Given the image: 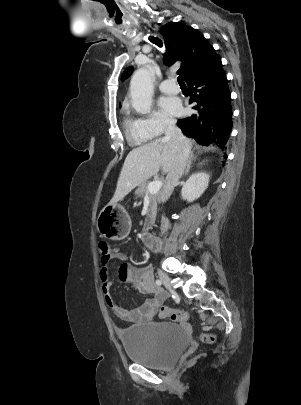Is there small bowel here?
<instances>
[{
	"instance_id": "c3829d8e",
	"label": "small bowel",
	"mask_w": 301,
	"mask_h": 405,
	"mask_svg": "<svg viewBox=\"0 0 301 405\" xmlns=\"http://www.w3.org/2000/svg\"><path fill=\"white\" fill-rule=\"evenodd\" d=\"M112 259L121 261L118 269L120 281L129 284L141 294L152 295L141 306L135 309H126L120 306L112 296L108 266L109 261ZM100 279L102 281V293L108 306L118 317L131 323L152 320L167 297L163 290L154 285L152 267H135L127 263L126 254L119 249H113L107 257H101Z\"/></svg>"
}]
</instances>
